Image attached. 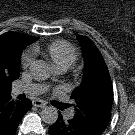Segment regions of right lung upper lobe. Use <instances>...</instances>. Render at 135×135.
I'll return each instance as SVG.
<instances>
[{"label": "right lung upper lobe", "instance_id": "1", "mask_svg": "<svg viewBox=\"0 0 135 135\" xmlns=\"http://www.w3.org/2000/svg\"><path fill=\"white\" fill-rule=\"evenodd\" d=\"M38 39L16 32H6L0 36V99L10 96L11 83L19 77L23 49Z\"/></svg>", "mask_w": 135, "mask_h": 135}]
</instances>
